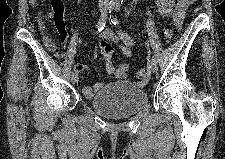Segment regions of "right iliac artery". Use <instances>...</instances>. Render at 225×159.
I'll return each mask as SVG.
<instances>
[{"instance_id":"obj_1","label":"right iliac artery","mask_w":225,"mask_h":159,"mask_svg":"<svg viewBox=\"0 0 225 159\" xmlns=\"http://www.w3.org/2000/svg\"><path fill=\"white\" fill-rule=\"evenodd\" d=\"M113 9H114V7H112V6H107L103 9L101 16L98 20L97 26H96L98 29V32H101L104 29L106 21L108 19V16L112 13ZM73 73L74 72L71 71L70 75Z\"/></svg>"}]
</instances>
